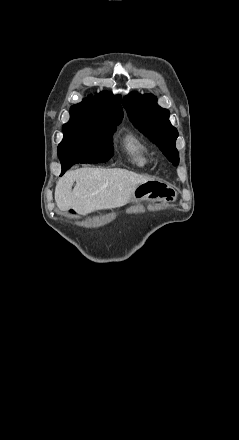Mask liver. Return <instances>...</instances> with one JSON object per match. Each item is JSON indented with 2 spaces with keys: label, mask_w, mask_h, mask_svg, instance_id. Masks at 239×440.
<instances>
[{
  "label": "liver",
  "mask_w": 239,
  "mask_h": 440,
  "mask_svg": "<svg viewBox=\"0 0 239 440\" xmlns=\"http://www.w3.org/2000/svg\"><path fill=\"white\" fill-rule=\"evenodd\" d=\"M76 182L74 190L72 186ZM152 178L135 172L112 168H79L66 172L55 188V202L59 210L74 208L87 216L96 210H112L128 204L137 188Z\"/></svg>",
  "instance_id": "1"
}]
</instances>
